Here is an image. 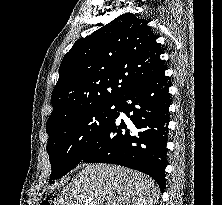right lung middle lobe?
<instances>
[{
    "mask_svg": "<svg viewBox=\"0 0 222 205\" xmlns=\"http://www.w3.org/2000/svg\"><path fill=\"white\" fill-rule=\"evenodd\" d=\"M113 105L116 108L112 109ZM118 105V101L97 103L46 125L52 170L50 184L82 161L93 140L112 122Z\"/></svg>",
    "mask_w": 222,
    "mask_h": 205,
    "instance_id": "1",
    "label": "right lung middle lobe"
}]
</instances>
